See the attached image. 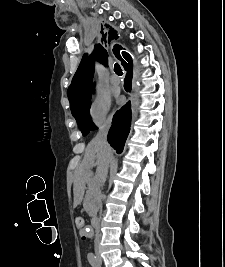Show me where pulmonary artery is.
I'll return each mask as SVG.
<instances>
[{
  "label": "pulmonary artery",
  "mask_w": 225,
  "mask_h": 267,
  "mask_svg": "<svg viewBox=\"0 0 225 267\" xmlns=\"http://www.w3.org/2000/svg\"><path fill=\"white\" fill-rule=\"evenodd\" d=\"M111 81L115 85H118V84L121 83V79L117 75H115V74L112 75Z\"/></svg>",
  "instance_id": "1"
}]
</instances>
